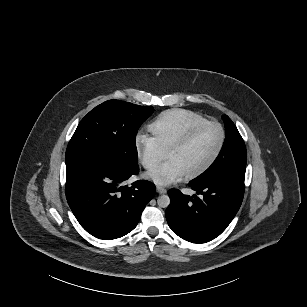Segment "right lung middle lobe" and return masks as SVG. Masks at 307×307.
Here are the masks:
<instances>
[{
  "mask_svg": "<svg viewBox=\"0 0 307 307\" xmlns=\"http://www.w3.org/2000/svg\"><path fill=\"white\" fill-rule=\"evenodd\" d=\"M152 106L109 100L91 110L79 123L66 150V166L82 160H104L138 169L135 144L140 125Z\"/></svg>",
  "mask_w": 307,
  "mask_h": 307,
  "instance_id": "dd1d6c3e",
  "label": "right lung middle lobe"
}]
</instances>
